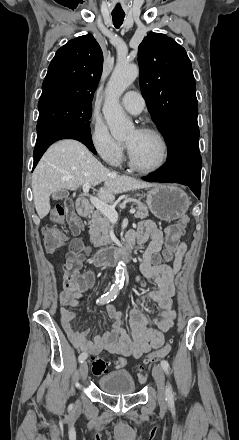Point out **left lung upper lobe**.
<instances>
[{"label": "left lung upper lobe", "instance_id": "1", "mask_svg": "<svg viewBox=\"0 0 239 440\" xmlns=\"http://www.w3.org/2000/svg\"><path fill=\"white\" fill-rule=\"evenodd\" d=\"M138 62L142 95L165 140L179 130L198 127L196 84L185 49L151 32L138 47Z\"/></svg>", "mask_w": 239, "mask_h": 440}]
</instances>
